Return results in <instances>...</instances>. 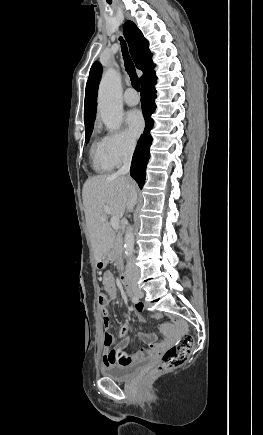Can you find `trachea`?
Listing matches in <instances>:
<instances>
[{
	"label": "trachea",
	"instance_id": "3493384b",
	"mask_svg": "<svg viewBox=\"0 0 263 435\" xmlns=\"http://www.w3.org/2000/svg\"><path fill=\"white\" fill-rule=\"evenodd\" d=\"M120 41H121V47H122V52H123V58L125 61L126 71L130 76L131 84H132L134 89H136L137 91H140V82H139L138 76L135 73L134 64H133V62L128 54L126 43L122 39V37H120Z\"/></svg>",
	"mask_w": 263,
	"mask_h": 435
}]
</instances>
